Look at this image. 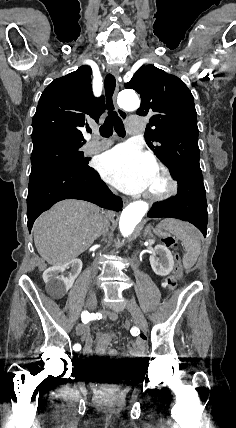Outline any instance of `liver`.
Segmentation results:
<instances>
[{
    "label": "liver",
    "mask_w": 236,
    "mask_h": 428,
    "mask_svg": "<svg viewBox=\"0 0 236 428\" xmlns=\"http://www.w3.org/2000/svg\"><path fill=\"white\" fill-rule=\"evenodd\" d=\"M100 208L82 200H63L41 214L33 226L38 254L51 266L71 262L94 240L108 232V222Z\"/></svg>",
    "instance_id": "liver-1"
}]
</instances>
